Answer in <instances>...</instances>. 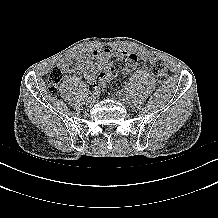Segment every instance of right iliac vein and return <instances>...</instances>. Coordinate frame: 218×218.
Segmentation results:
<instances>
[{"label":"right iliac vein","mask_w":218,"mask_h":218,"mask_svg":"<svg viewBox=\"0 0 218 218\" xmlns=\"http://www.w3.org/2000/svg\"><path fill=\"white\" fill-rule=\"evenodd\" d=\"M95 103H96V96L95 95H90L86 99V106L89 108L92 107Z\"/></svg>","instance_id":"63e3f726"}]
</instances>
